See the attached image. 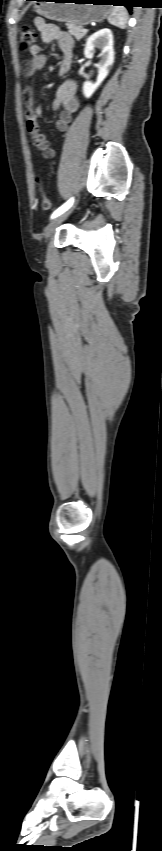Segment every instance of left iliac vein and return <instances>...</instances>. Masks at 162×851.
Returning a JSON list of instances; mask_svg holds the SVG:
<instances>
[{"mask_svg": "<svg viewBox=\"0 0 162 851\" xmlns=\"http://www.w3.org/2000/svg\"><path fill=\"white\" fill-rule=\"evenodd\" d=\"M74 208H75V206H73L72 208H70V209H68L67 211L63 212V213H62V214H60L59 216L55 217V218H54V219H53V220H52V221H51V222L47 225V227H46V229H45V232H44V237H45V239H49V238H50V237L54 234V232H55L56 228L58 227V225H59V224H61V223H62V222H63V221H64V220H65V219H66V218L70 215V213L73 211V209H74Z\"/></svg>", "mask_w": 162, "mask_h": 851, "instance_id": "left-iliac-vein-1", "label": "left iliac vein"}]
</instances>
